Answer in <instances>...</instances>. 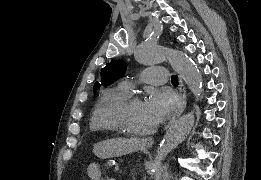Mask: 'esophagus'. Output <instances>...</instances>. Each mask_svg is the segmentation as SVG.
Masks as SVG:
<instances>
[{
	"mask_svg": "<svg viewBox=\"0 0 261 180\" xmlns=\"http://www.w3.org/2000/svg\"><path fill=\"white\" fill-rule=\"evenodd\" d=\"M179 83H180V87H179L180 106H179L178 110L175 112V114L173 115V117L171 118L168 125L165 127V130H167L170 127V125H172V123L175 122V120L181 115V113L184 111V109L186 107V101H187L186 100V89H185V85H184V82H183L181 76H179ZM139 142L141 143V145L150 148V147H152V145L154 143V139L152 137H146V138L139 139Z\"/></svg>",
	"mask_w": 261,
	"mask_h": 180,
	"instance_id": "obj_1",
	"label": "esophagus"
}]
</instances>
